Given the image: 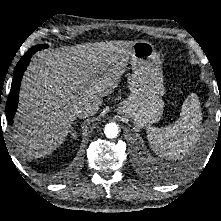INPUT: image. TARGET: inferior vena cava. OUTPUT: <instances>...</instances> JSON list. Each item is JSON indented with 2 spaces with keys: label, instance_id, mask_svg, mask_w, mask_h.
I'll return each instance as SVG.
<instances>
[{
  "label": "inferior vena cava",
  "instance_id": "602c4592",
  "mask_svg": "<svg viewBox=\"0 0 221 221\" xmlns=\"http://www.w3.org/2000/svg\"><path fill=\"white\" fill-rule=\"evenodd\" d=\"M97 112V108L92 106L89 103H85L83 105H80L76 109V114L80 118H86L88 116L94 115Z\"/></svg>",
  "mask_w": 221,
  "mask_h": 221
}]
</instances>
